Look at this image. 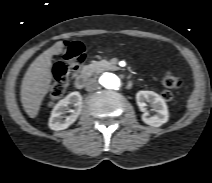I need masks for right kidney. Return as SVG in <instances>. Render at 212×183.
Segmentation results:
<instances>
[{"mask_svg":"<svg viewBox=\"0 0 212 183\" xmlns=\"http://www.w3.org/2000/svg\"><path fill=\"white\" fill-rule=\"evenodd\" d=\"M71 105L74 106V109H69ZM81 110V94L78 91L71 92L54 106L49 118V128L55 131L67 129L77 120ZM67 112H72V114L66 116Z\"/></svg>","mask_w":212,"mask_h":183,"instance_id":"ca27d5eb","label":"right kidney"}]
</instances>
